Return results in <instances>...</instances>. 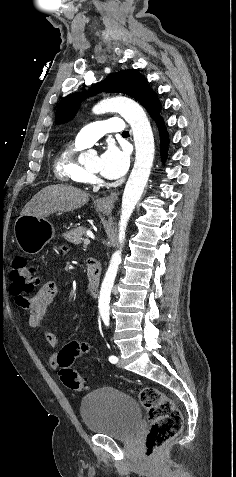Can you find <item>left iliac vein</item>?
I'll list each match as a JSON object with an SVG mask.
<instances>
[{"label": "left iliac vein", "mask_w": 236, "mask_h": 477, "mask_svg": "<svg viewBox=\"0 0 236 477\" xmlns=\"http://www.w3.org/2000/svg\"><path fill=\"white\" fill-rule=\"evenodd\" d=\"M117 365H118V367H120V368L123 367V362H122V360H121L120 358H119V361H118V364H117Z\"/></svg>", "instance_id": "1"}]
</instances>
